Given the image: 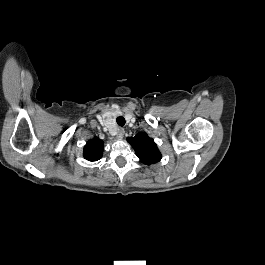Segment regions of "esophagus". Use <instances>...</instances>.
Wrapping results in <instances>:
<instances>
[{"label":"esophagus","mask_w":265,"mask_h":265,"mask_svg":"<svg viewBox=\"0 0 265 265\" xmlns=\"http://www.w3.org/2000/svg\"><path fill=\"white\" fill-rule=\"evenodd\" d=\"M124 133H125L124 129H123V128H119V129L117 130V138H118L119 140H121V139L124 137Z\"/></svg>","instance_id":"34e87169"}]
</instances>
